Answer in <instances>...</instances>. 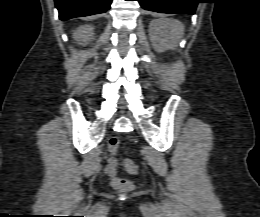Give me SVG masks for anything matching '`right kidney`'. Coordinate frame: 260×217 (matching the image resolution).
Masks as SVG:
<instances>
[{"instance_id": "right-kidney-1", "label": "right kidney", "mask_w": 260, "mask_h": 217, "mask_svg": "<svg viewBox=\"0 0 260 217\" xmlns=\"http://www.w3.org/2000/svg\"><path fill=\"white\" fill-rule=\"evenodd\" d=\"M73 38L80 45H85L94 39L93 27L90 25H83L78 27L73 34Z\"/></svg>"}]
</instances>
